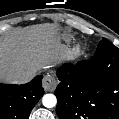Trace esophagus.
Wrapping results in <instances>:
<instances>
[{"instance_id": "34e87169", "label": "esophagus", "mask_w": 119, "mask_h": 119, "mask_svg": "<svg viewBox=\"0 0 119 119\" xmlns=\"http://www.w3.org/2000/svg\"><path fill=\"white\" fill-rule=\"evenodd\" d=\"M42 86L45 91L52 92L57 87V80L52 73H47L42 81Z\"/></svg>"}]
</instances>
